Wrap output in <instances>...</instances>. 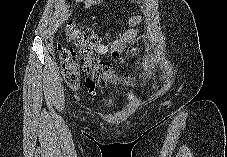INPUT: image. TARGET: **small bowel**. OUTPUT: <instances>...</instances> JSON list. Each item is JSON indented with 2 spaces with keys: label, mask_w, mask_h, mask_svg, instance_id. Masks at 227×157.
Returning <instances> with one entry per match:
<instances>
[{
  "label": "small bowel",
  "mask_w": 227,
  "mask_h": 157,
  "mask_svg": "<svg viewBox=\"0 0 227 157\" xmlns=\"http://www.w3.org/2000/svg\"><path fill=\"white\" fill-rule=\"evenodd\" d=\"M139 21H140L139 17H134L131 20V26L137 25ZM135 35H136V31L134 29H131L124 36L115 40L110 47L104 44H100V46L98 47V53L101 55H104V54H107L108 52H111L114 56H117L124 50V48L135 37ZM128 50L132 51L133 47L129 46ZM86 86L90 92H93L95 89L94 84L86 83Z\"/></svg>",
  "instance_id": "1"
}]
</instances>
